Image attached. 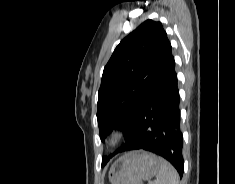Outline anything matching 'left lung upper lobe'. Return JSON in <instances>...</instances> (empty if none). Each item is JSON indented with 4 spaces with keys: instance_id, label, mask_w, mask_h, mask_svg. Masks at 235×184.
Instances as JSON below:
<instances>
[{
    "instance_id": "left-lung-upper-lobe-1",
    "label": "left lung upper lobe",
    "mask_w": 235,
    "mask_h": 184,
    "mask_svg": "<svg viewBox=\"0 0 235 184\" xmlns=\"http://www.w3.org/2000/svg\"><path fill=\"white\" fill-rule=\"evenodd\" d=\"M167 40L160 22L146 20L115 48L104 68L98 92L97 120L101 140L114 127L124 128L125 141L132 135ZM110 157H103L102 166Z\"/></svg>"
}]
</instances>
